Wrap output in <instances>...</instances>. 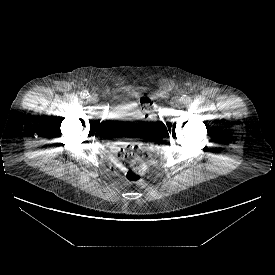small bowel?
<instances>
[{
	"mask_svg": "<svg viewBox=\"0 0 275 275\" xmlns=\"http://www.w3.org/2000/svg\"><path fill=\"white\" fill-rule=\"evenodd\" d=\"M112 161H113L115 167H117L118 169H123V166H120V167L117 166V158L113 157V158H112Z\"/></svg>",
	"mask_w": 275,
	"mask_h": 275,
	"instance_id": "small-bowel-1",
	"label": "small bowel"
}]
</instances>
